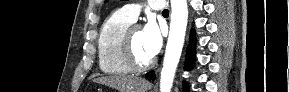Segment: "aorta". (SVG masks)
Instances as JSON below:
<instances>
[{
    "label": "aorta",
    "mask_w": 289,
    "mask_h": 92,
    "mask_svg": "<svg viewBox=\"0 0 289 92\" xmlns=\"http://www.w3.org/2000/svg\"><path fill=\"white\" fill-rule=\"evenodd\" d=\"M188 19L187 0H171V22L160 77V92H170L184 45Z\"/></svg>",
    "instance_id": "aorta-1"
}]
</instances>
